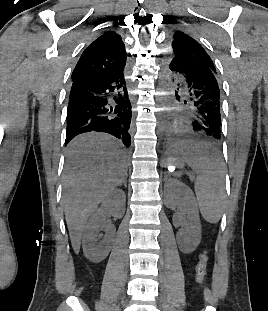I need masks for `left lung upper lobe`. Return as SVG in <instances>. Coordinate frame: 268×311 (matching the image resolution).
<instances>
[{"label":"left lung upper lobe","instance_id":"obj_1","mask_svg":"<svg viewBox=\"0 0 268 311\" xmlns=\"http://www.w3.org/2000/svg\"><path fill=\"white\" fill-rule=\"evenodd\" d=\"M172 53L168 56L170 61L193 62L197 61L210 67L216 74L215 65L202 45L194 38L182 31H175L172 35Z\"/></svg>","mask_w":268,"mask_h":311}]
</instances>
